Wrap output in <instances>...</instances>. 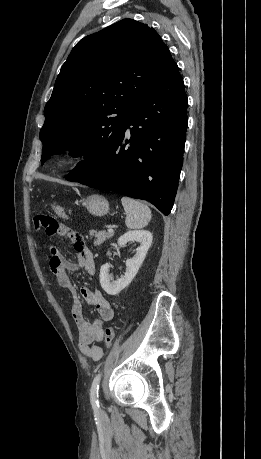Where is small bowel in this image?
<instances>
[{"label":"small bowel","mask_w":261,"mask_h":459,"mask_svg":"<svg viewBox=\"0 0 261 459\" xmlns=\"http://www.w3.org/2000/svg\"><path fill=\"white\" fill-rule=\"evenodd\" d=\"M45 230L48 236L69 238L72 241L73 249L78 257L77 262L67 260L55 247L50 246L47 267L55 276L58 285L68 291L73 298L72 317L78 329L80 351L91 360L99 361L103 356V349L98 345L104 338L103 323L113 319L114 311L99 290L82 287L78 291L71 277L73 273L81 268L90 275L94 274V255L89 247L85 245L82 237L68 226L57 223L52 231L46 228ZM80 297L95 308L98 313L97 318L92 320L86 318Z\"/></svg>","instance_id":"small-bowel-1"}]
</instances>
